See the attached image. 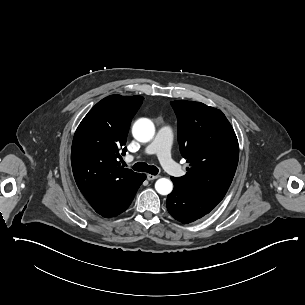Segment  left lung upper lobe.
<instances>
[{"label":"left lung upper lobe","instance_id":"5c2ea615","mask_svg":"<svg viewBox=\"0 0 305 305\" xmlns=\"http://www.w3.org/2000/svg\"><path fill=\"white\" fill-rule=\"evenodd\" d=\"M178 142L190 163L187 173L173 178L187 192L222 200L234 177L239 145L236 134L218 109L200 102L177 100Z\"/></svg>","mask_w":305,"mask_h":305}]
</instances>
